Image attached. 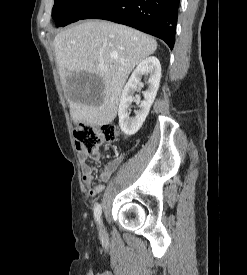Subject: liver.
<instances>
[{
  "label": "liver",
  "instance_id": "obj_1",
  "mask_svg": "<svg viewBox=\"0 0 247 275\" xmlns=\"http://www.w3.org/2000/svg\"><path fill=\"white\" fill-rule=\"evenodd\" d=\"M53 45L71 117L75 123L89 126H102L115 119L128 76L157 48L156 40L149 35L103 20H88L68 28L55 36ZM83 71L100 77L101 94L82 98L68 89V77Z\"/></svg>",
  "mask_w": 247,
  "mask_h": 275
}]
</instances>
